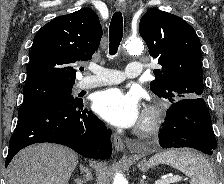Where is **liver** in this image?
I'll use <instances>...</instances> for the list:
<instances>
[{"mask_svg":"<svg viewBox=\"0 0 224 184\" xmlns=\"http://www.w3.org/2000/svg\"><path fill=\"white\" fill-rule=\"evenodd\" d=\"M78 163L71 149L40 143L21 150L9 164L6 184H68Z\"/></svg>","mask_w":224,"mask_h":184,"instance_id":"6515ba94","label":"liver"}]
</instances>
